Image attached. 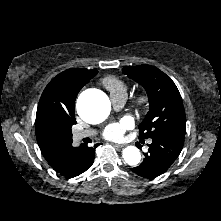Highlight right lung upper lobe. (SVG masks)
Masks as SVG:
<instances>
[{
	"instance_id": "1",
	"label": "right lung upper lobe",
	"mask_w": 221,
	"mask_h": 221,
	"mask_svg": "<svg viewBox=\"0 0 221 221\" xmlns=\"http://www.w3.org/2000/svg\"><path fill=\"white\" fill-rule=\"evenodd\" d=\"M96 74V70L68 69L54 77L44 89L37 107L35 131L46 160L58 149L72 144L76 96Z\"/></svg>"
}]
</instances>
